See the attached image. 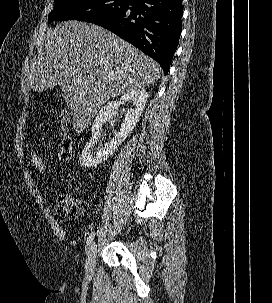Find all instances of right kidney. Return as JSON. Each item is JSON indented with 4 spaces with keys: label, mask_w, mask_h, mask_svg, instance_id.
Wrapping results in <instances>:
<instances>
[{
    "label": "right kidney",
    "mask_w": 272,
    "mask_h": 303,
    "mask_svg": "<svg viewBox=\"0 0 272 303\" xmlns=\"http://www.w3.org/2000/svg\"><path fill=\"white\" fill-rule=\"evenodd\" d=\"M147 98L148 93L145 90H135L123 95L119 101L109 102L100 109L91 127L92 138L84 147L79 159L82 167H95L107 160L108 157L113 154L117 147L121 145L136 126L145 108ZM127 101H131L135 107L133 109H128L126 112L124 120L120 126V131L115 133L114 137L105 145L104 148L99 149L97 153L93 155L91 148L97 142V138L102 130L103 124L106 121L111 120L117 112L119 105Z\"/></svg>",
    "instance_id": "obj_1"
}]
</instances>
